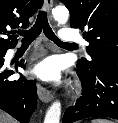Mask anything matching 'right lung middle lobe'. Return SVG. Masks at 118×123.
I'll return each mask as SVG.
<instances>
[{"mask_svg": "<svg viewBox=\"0 0 118 123\" xmlns=\"http://www.w3.org/2000/svg\"><path fill=\"white\" fill-rule=\"evenodd\" d=\"M4 53V51H0V55H2Z\"/></svg>", "mask_w": 118, "mask_h": 123, "instance_id": "1", "label": "right lung middle lobe"}]
</instances>
